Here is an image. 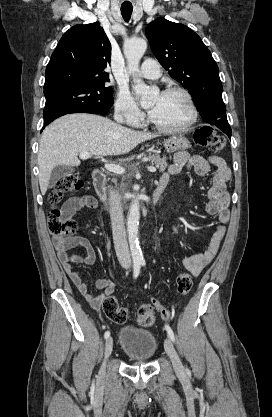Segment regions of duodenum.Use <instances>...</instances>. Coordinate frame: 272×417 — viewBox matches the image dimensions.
<instances>
[{
	"mask_svg": "<svg viewBox=\"0 0 272 417\" xmlns=\"http://www.w3.org/2000/svg\"><path fill=\"white\" fill-rule=\"evenodd\" d=\"M93 186L96 194L102 201L107 200V191H106V172L102 167H98L93 171ZM167 186V182H159L155 187L151 200L153 203H156L162 196L164 189Z\"/></svg>",
	"mask_w": 272,
	"mask_h": 417,
	"instance_id": "1",
	"label": "duodenum"
}]
</instances>
